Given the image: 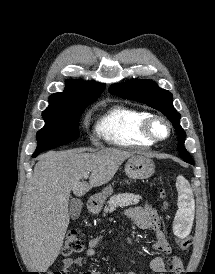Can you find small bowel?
<instances>
[{
	"label": "small bowel",
	"mask_w": 215,
	"mask_h": 274,
	"mask_svg": "<svg viewBox=\"0 0 215 274\" xmlns=\"http://www.w3.org/2000/svg\"><path fill=\"white\" fill-rule=\"evenodd\" d=\"M126 216L131 219L134 224L141 229H151L156 237L154 243L155 249L169 256L171 254V246L166 239L162 229L161 222L158 214L150 206H138L130 208L126 211ZM103 235H98L92 238L85 250L86 257H93L97 253V247L102 242ZM84 262V258L79 256L75 258H65L63 261L64 268L62 269L64 274H68L69 270L74 266H81ZM150 268L157 274H167L176 272L179 273L183 270V264L179 257L171 256L169 260H165L163 256H157L149 263ZM80 274H102L98 271H83ZM115 274H135L133 272H116Z\"/></svg>",
	"instance_id": "c3829d8e"
}]
</instances>
